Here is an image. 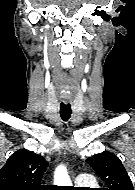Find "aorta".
Instances as JSON below:
<instances>
[{
	"label": "aorta",
	"instance_id": "1",
	"mask_svg": "<svg viewBox=\"0 0 135 190\" xmlns=\"http://www.w3.org/2000/svg\"><path fill=\"white\" fill-rule=\"evenodd\" d=\"M55 182L58 184H62L63 186H71V181L65 167H58L55 174Z\"/></svg>",
	"mask_w": 135,
	"mask_h": 190
}]
</instances>
